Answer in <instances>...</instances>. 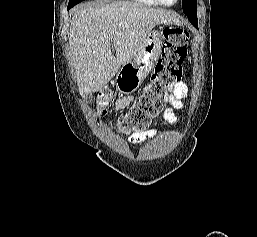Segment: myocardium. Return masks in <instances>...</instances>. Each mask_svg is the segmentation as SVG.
<instances>
[{
	"label": "myocardium",
	"instance_id": "obj_1",
	"mask_svg": "<svg viewBox=\"0 0 257 237\" xmlns=\"http://www.w3.org/2000/svg\"><path fill=\"white\" fill-rule=\"evenodd\" d=\"M179 0H175L173 3H167L165 2L164 0H158V2L161 4V5H164V6H167V7H170V6H174L178 3Z\"/></svg>",
	"mask_w": 257,
	"mask_h": 237
}]
</instances>
